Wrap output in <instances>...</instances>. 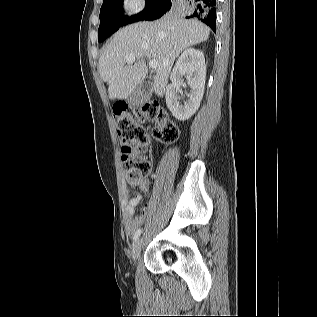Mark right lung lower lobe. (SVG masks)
Segmentation results:
<instances>
[{
  "mask_svg": "<svg viewBox=\"0 0 317 317\" xmlns=\"http://www.w3.org/2000/svg\"><path fill=\"white\" fill-rule=\"evenodd\" d=\"M173 0H162L146 16L144 20H154L163 16L170 10ZM185 7L188 8L189 16L186 18L196 17L207 24L213 31L216 28V0H185Z\"/></svg>",
  "mask_w": 317,
  "mask_h": 317,
  "instance_id": "right-lung-lower-lobe-1",
  "label": "right lung lower lobe"
}]
</instances>
